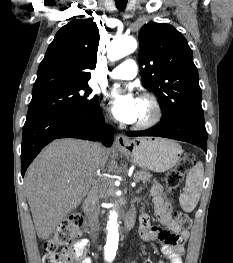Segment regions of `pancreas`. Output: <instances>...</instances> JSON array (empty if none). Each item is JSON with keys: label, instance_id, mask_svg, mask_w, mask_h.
<instances>
[{"label": "pancreas", "instance_id": "pancreas-1", "mask_svg": "<svg viewBox=\"0 0 233 263\" xmlns=\"http://www.w3.org/2000/svg\"><path fill=\"white\" fill-rule=\"evenodd\" d=\"M133 178L135 180V182H139L142 181L143 184L150 182L151 178H152V174H150L149 172L140 170V171H136L133 174Z\"/></svg>", "mask_w": 233, "mask_h": 263}]
</instances>
